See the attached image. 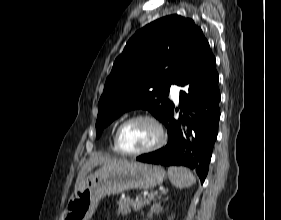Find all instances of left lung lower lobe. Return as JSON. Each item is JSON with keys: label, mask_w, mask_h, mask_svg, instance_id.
Listing matches in <instances>:
<instances>
[{"label": "left lung lower lobe", "mask_w": 281, "mask_h": 220, "mask_svg": "<svg viewBox=\"0 0 281 220\" xmlns=\"http://www.w3.org/2000/svg\"><path fill=\"white\" fill-rule=\"evenodd\" d=\"M178 85L184 87L180 91L179 104L184 116L180 115V120L173 119V107L165 123L168 144L155 152L137 157V161L187 166L196 170L203 183L220 118L218 73L210 47L192 62Z\"/></svg>", "instance_id": "obj_1"}]
</instances>
